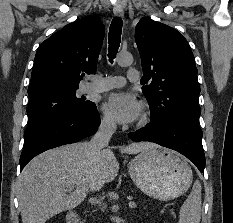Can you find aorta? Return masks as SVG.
<instances>
[{
  "instance_id": "762f6f07",
  "label": "aorta",
  "mask_w": 233,
  "mask_h": 223,
  "mask_svg": "<svg viewBox=\"0 0 233 223\" xmlns=\"http://www.w3.org/2000/svg\"><path fill=\"white\" fill-rule=\"evenodd\" d=\"M117 62L118 66H123V68H125V66H131L133 58L132 56H119V58H117Z\"/></svg>"
}]
</instances>
